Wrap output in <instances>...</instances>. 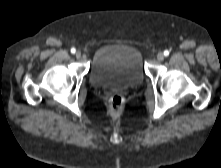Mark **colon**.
Instances as JSON below:
<instances>
[{"instance_id": "1", "label": "colon", "mask_w": 221, "mask_h": 168, "mask_svg": "<svg viewBox=\"0 0 221 168\" xmlns=\"http://www.w3.org/2000/svg\"><path fill=\"white\" fill-rule=\"evenodd\" d=\"M124 98L122 95L116 93L109 99V109L112 113H118L123 106Z\"/></svg>"}]
</instances>
